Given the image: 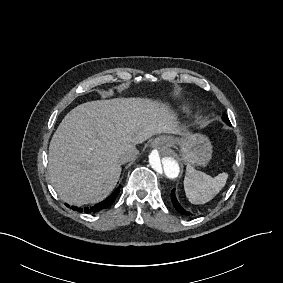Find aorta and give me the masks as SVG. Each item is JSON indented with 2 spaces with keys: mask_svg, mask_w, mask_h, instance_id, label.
I'll return each mask as SVG.
<instances>
[{
  "mask_svg": "<svg viewBox=\"0 0 283 283\" xmlns=\"http://www.w3.org/2000/svg\"><path fill=\"white\" fill-rule=\"evenodd\" d=\"M149 165L155 178L161 182L176 180L182 171L179 156L166 146L151 151Z\"/></svg>",
  "mask_w": 283,
  "mask_h": 283,
  "instance_id": "1",
  "label": "aorta"
}]
</instances>
